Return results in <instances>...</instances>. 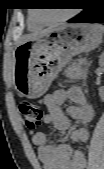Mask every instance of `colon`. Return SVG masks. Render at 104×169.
Instances as JSON below:
<instances>
[{
    "label": "colon",
    "instance_id": "colon-1",
    "mask_svg": "<svg viewBox=\"0 0 104 169\" xmlns=\"http://www.w3.org/2000/svg\"><path fill=\"white\" fill-rule=\"evenodd\" d=\"M18 110L28 130L34 131L40 125L43 117V110L40 105L21 101L18 105Z\"/></svg>",
    "mask_w": 104,
    "mask_h": 169
}]
</instances>
